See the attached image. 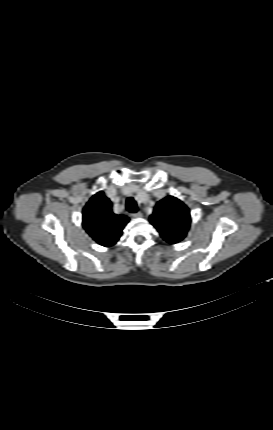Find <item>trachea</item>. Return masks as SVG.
<instances>
[{"instance_id": "obj_1", "label": "trachea", "mask_w": 273, "mask_h": 430, "mask_svg": "<svg viewBox=\"0 0 273 430\" xmlns=\"http://www.w3.org/2000/svg\"><path fill=\"white\" fill-rule=\"evenodd\" d=\"M126 207L130 213H136L137 212V204H136L133 197L127 198Z\"/></svg>"}]
</instances>
